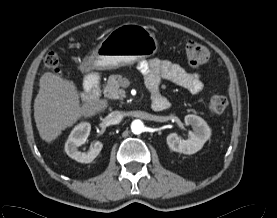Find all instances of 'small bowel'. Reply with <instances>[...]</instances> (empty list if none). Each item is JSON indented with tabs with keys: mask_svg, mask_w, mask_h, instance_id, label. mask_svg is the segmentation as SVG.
Returning a JSON list of instances; mask_svg holds the SVG:
<instances>
[{
	"mask_svg": "<svg viewBox=\"0 0 277 218\" xmlns=\"http://www.w3.org/2000/svg\"><path fill=\"white\" fill-rule=\"evenodd\" d=\"M138 69L145 77V84L150 91L152 99V108L158 110V99L164 98L159 91L161 79H166L176 85L186 89L191 94H200L204 89V84L199 74L186 71L179 64L166 59L154 58L148 61L138 63Z\"/></svg>",
	"mask_w": 277,
	"mask_h": 218,
	"instance_id": "c3829d8e",
	"label": "small bowel"
}]
</instances>
